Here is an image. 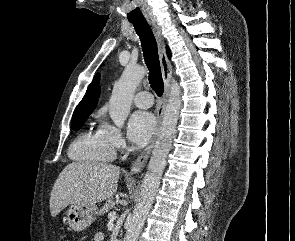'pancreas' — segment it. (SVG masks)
Listing matches in <instances>:
<instances>
[{
    "label": "pancreas",
    "mask_w": 295,
    "mask_h": 241,
    "mask_svg": "<svg viewBox=\"0 0 295 241\" xmlns=\"http://www.w3.org/2000/svg\"><path fill=\"white\" fill-rule=\"evenodd\" d=\"M114 207H115V201H113V200H107V202L100 209L99 215H104V214L108 213Z\"/></svg>",
    "instance_id": "1"
}]
</instances>
